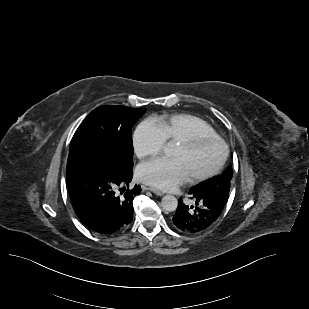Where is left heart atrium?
Instances as JSON below:
<instances>
[{
	"label": "left heart atrium",
	"instance_id": "left-heart-atrium-1",
	"mask_svg": "<svg viewBox=\"0 0 309 309\" xmlns=\"http://www.w3.org/2000/svg\"><path fill=\"white\" fill-rule=\"evenodd\" d=\"M136 176L141 182L162 190H173L190 178L184 164L177 158H157L142 163Z\"/></svg>",
	"mask_w": 309,
	"mask_h": 309
}]
</instances>
